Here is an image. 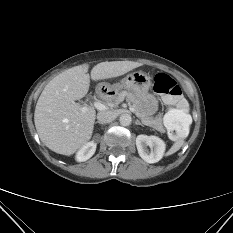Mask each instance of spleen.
Returning a JSON list of instances; mask_svg holds the SVG:
<instances>
[{"label":"spleen","instance_id":"3e777b00","mask_svg":"<svg viewBox=\"0 0 233 233\" xmlns=\"http://www.w3.org/2000/svg\"><path fill=\"white\" fill-rule=\"evenodd\" d=\"M164 120L170 124H172L173 122H181L183 123L184 126H189L192 122V118L191 116L187 113L186 110H178V109H172L169 110L165 116H164ZM183 144V140H179L177 141L172 147L171 149L168 151L167 155H171L173 153H175L176 151H178L180 149V147Z\"/></svg>","mask_w":233,"mask_h":233}]
</instances>
